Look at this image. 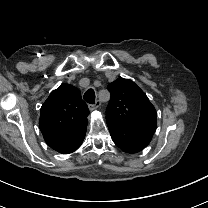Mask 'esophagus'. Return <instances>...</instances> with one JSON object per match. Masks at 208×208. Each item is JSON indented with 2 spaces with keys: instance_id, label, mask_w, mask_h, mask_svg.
Masks as SVG:
<instances>
[{
  "instance_id": "obj_1",
  "label": "esophagus",
  "mask_w": 208,
  "mask_h": 208,
  "mask_svg": "<svg viewBox=\"0 0 208 208\" xmlns=\"http://www.w3.org/2000/svg\"><path fill=\"white\" fill-rule=\"evenodd\" d=\"M101 105L100 100H97L94 104H89L88 108L90 111L97 109Z\"/></svg>"
}]
</instances>
